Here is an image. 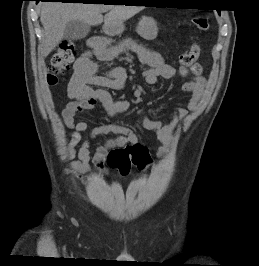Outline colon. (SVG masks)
Masks as SVG:
<instances>
[{"label":"colon","mask_w":259,"mask_h":266,"mask_svg":"<svg viewBox=\"0 0 259 266\" xmlns=\"http://www.w3.org/2000/svg\"><path fill=\"white\" fill-rule=\"evenodd\" d=\"M193 22L196 28L202 32H206L209 29L208 20L203 16L195 17ZM199 55L200 47L194 43L191 45L190 49L180 56L179 62L182 66L190 67L197 62ZM76 57L77 49L74 43L71 41H63L53 55L48 67V83L56 85ZM107 162L110 167L126 175L132 167L145 170L149 166L151 158L147 148L137 143L112 150L108 155Z\"/></svg>","instance_id":"5ec220e1"}]
</instances>
